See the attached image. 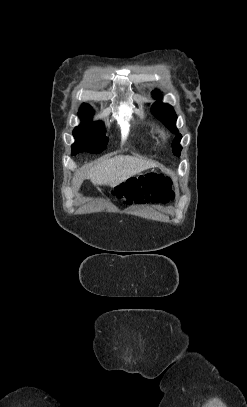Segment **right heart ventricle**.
<instances>
[{
  "label": "right heart ventricle",
  "instance_id": "1",
  "mask_svg": "<svg viewBox=\"0 0 247 407\" xmlns=\"http://www.w3.org/2000/svg\"><path fill=\"white\" fill-rule=\"evenodd\" d=\"M149 133H152V134H153V133H154V131H153V130H149Z\"/></svg>",
  "mask_w": 247,
  "mask_h": 407
}]
</instances>
